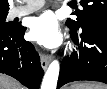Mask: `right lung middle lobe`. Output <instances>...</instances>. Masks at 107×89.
Returning <instances> with one entry per match:
<instances>
[{"label":"right lung middle lobe","mask_w":107,"mask_h":89,"mask_svg":"<svg viewBox=\"0 0 107 89\" xmlns=\"http://www.w3.org/2000/svg\"><path fill=\"white\" fill-rule=\"evenodd\" d=\"M8 12L0 13V28L4 30H13L17 27V25H14L12 22H6V16Z\"/></svg>","instance_id":"right-lung-middle-lobe-1"}]
</instances>
